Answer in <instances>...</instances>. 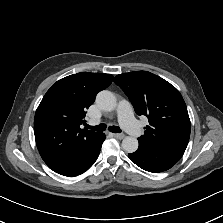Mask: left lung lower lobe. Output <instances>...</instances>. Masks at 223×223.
I'll return each instance as SVG.
<instances>
[{"label":"left lung lower lobe","instance_id":"obj_1","mask_svg":"<svg viewBox=\"0 0 223 223\" xmlns=\"http://www.w3.org/2000/svg\"><path fill=\"white\" fill-rule=\"evenodd\" d=\"M128 157L140 168L153 173L168 170L180 159L141 145L137 151L128 154Z\"/></svg>","mask_w":223,"mask_h":223}]
</instances>
